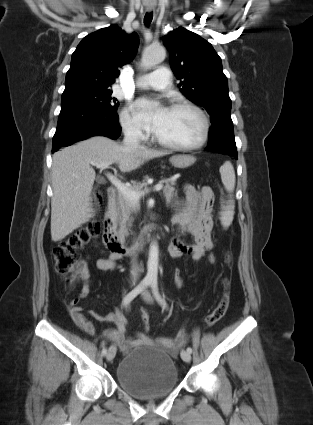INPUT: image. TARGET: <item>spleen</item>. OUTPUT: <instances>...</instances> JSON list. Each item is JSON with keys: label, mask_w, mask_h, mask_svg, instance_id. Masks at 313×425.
I'll return each mask as SVG.
<instances>
[{"label": "spleen", "mask_w": 313, "mask_h": 425, "mask_svg": "<svg viewBox=\"0 0 313 425\" xmlns=\"http://www.w3.org/2000/svg\"><path fill=\"white\" fill-rule=\"evenodd\" d=\"M220 174H221V180L222 183L226 189L227 192L232 193L235 188V171L232 163L230 161H226L221 167H220ZM234 216V201L230 200L229 205L226 207V209L221 213V224L224 228H227L230 226Z\"/></svg>", "instance_id": "obj_1"}]
</instances>
